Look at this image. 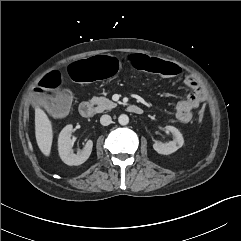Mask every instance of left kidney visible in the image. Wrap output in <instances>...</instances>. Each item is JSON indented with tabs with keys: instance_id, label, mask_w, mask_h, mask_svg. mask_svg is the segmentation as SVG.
Segmentation results:
<instances>
[{
	"instance_id": "1",
	"label": "left kidney",
	"mask_w": 241,
	"mask_h": 241,
	"mask_svg": "<svg viewBox=\"0 0 241 241\" xmlns=\"http://www.w3.org/2000/svg\"><path fill=\"white\" fill-rule=\"evenodd\" d=\"M165 129L168 132H171L174 136L173 141L162 143L159 141H156L153 144V148L156 152L163 155H169L177 151L179 148H181L184 144V139L180 131L175 128L174 126H166Z\"/></svg>"
}]
</instances>
